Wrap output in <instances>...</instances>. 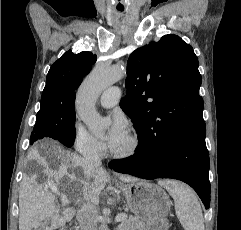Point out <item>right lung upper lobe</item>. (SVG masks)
<instances>
[{"label": "right lung upper lobe", "mask_w": 241, "mask_h": 230, "mask_svg": "<svg viewBox=\"0 0 241 230\" xmlns=\"http://www.w3.org/2000/svg\"><path fill=\"white\" fill-rule=\"evenodd\" d=\"M96 62L91 52L67 51L50 68L41 97L39 112L74 110L75 90Z\"/></svg>", "instance_id": "1"}]
</instances>
